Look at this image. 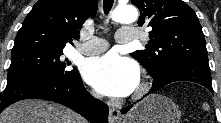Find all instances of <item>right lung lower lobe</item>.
<instances>
[{"instance_id":"98d812e1","label":"right lung lower lobe","mask_w":221,"mask_h":123,"mask_svg":"<svg viewBox=\"0 0 221 123\" xmlns=\"http://www.w3.org/2000/svg\"><path fill=\"white\" fill-rule=\"evenodd\" d=\"M28 98L54 101L71 108L91 123H107L108 106L86 91L79 72L63 79L28 75L8 80L0 112L11 104Z\"/></svg>"}]
</instances>
